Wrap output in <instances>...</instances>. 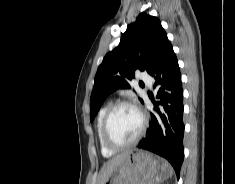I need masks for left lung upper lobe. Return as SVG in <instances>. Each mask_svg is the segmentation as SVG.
I'll return each mask as SVG.
<instances>
[{
  "mask_svg": "<svg viewBox=\"0 0 235 184\" xmlns=\"http://www.w3.org/2000/svg\"><path fill=\"white\" fill-rule=\"evenodd\" d=\"M167 34L157 17L146 13L138 15L136 21L122 34L119 45L108 52L98 67L90 99V121L92 122L106 97L119 88H130L129 81L135 71L152 70L160 44ZM141 102L142 99H140Z\"/></svg>",
  "mask_w": 235,
  "mask_h": 184,
  "instance_id": "1",
  "label": "left lung upper lobe"
}]
</instances>
